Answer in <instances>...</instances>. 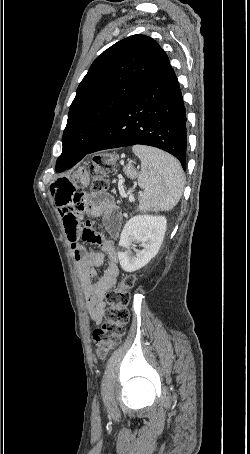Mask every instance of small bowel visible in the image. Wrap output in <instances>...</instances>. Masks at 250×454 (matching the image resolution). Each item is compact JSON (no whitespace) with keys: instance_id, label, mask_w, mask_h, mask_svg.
<instances>
[{"instance_id":"1","label":"small bowel","mask_w":250,"mask_h":454,"mask_svg":"<svg viewBox=\"0 0 250 454\" xmlns=\"http://www.w3.org/2000/svg\"><path fill=\"white\" fill-rule=\"evenodd\" d=\"M88 182V175L80 171L75 177L56 180L51 186V192L71 244L90 318L94 323L100 324L106 310L105 294L114 287L119 275L114 239L121 228L122 213L110 194L92 196L78 192V187L87 186ZM85 217L102 219L103 228L110 238L95 232L89 221L82 225ZM82 242L96 244L99 249H86ZM105 258L107 267L103 274L97 277L96 268L103 264Z\"/></svg>"}]
</instances>
